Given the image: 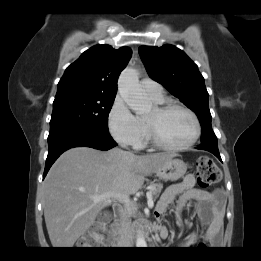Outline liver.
<instances>
[{"label": "liver", "mask_w": 261, "mask_h": 261, "mask_svg": "<svg viewBox=\"0 0 261 261\" xmlns=\"http://www.w3.org/2000/svg\"><path fill=\"white\" fill-rule=\"evenodd\" d=\"M174 154L135 155L121 149L101 152L76 147L64 152L43 182L44 217L51 244L72 248L95 222L99 212L117 200H128ZM105 193L110 198L94 201ZM119 195V197L117 196Z\"/></svg>", "instance_id": "6515ba94"}]
</instances>
